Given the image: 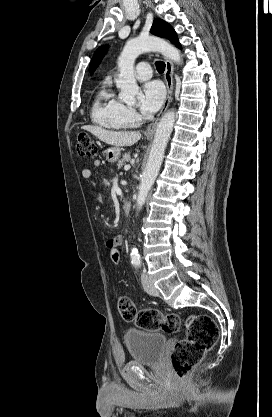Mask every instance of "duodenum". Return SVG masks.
I'll use <instances>...</instances> for the list:
<instances>
[{"instance_id":"410a0bca","label":"duodenum","mask_w":272,"mask_h":417,"mask_svg":"<svg viewBox=\"0 0 272 417\" xmlns=\"http://www.w3.org/2000/svg\"><path fill=\"white\" fill-rule=\"evenodd\" d=\"M122 210L124 212V214H129L130 210H131V202L128 200H124L122 203Z\"/></svg>"}]
</instances>
